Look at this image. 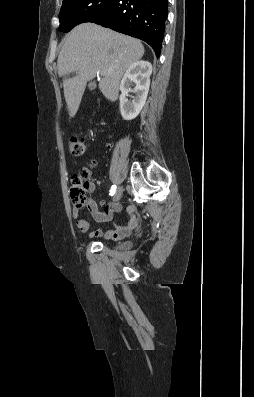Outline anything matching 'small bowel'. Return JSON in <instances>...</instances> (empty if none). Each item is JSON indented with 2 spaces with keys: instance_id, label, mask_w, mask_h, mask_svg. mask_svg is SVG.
I'll return each instance as SVG.
<instances>
[{
  "instance_id": "small-bowel-1",
  "label": "small bowel",
  "mask_w": 254,
  "mask_h": 397,
  "mask_svg": "<svg viewBox=\"0 0 254 397\" xmlns=\"http://www.w3.org/2000/svg\"><path fill=\"white\" fill-rule=\"evenodd\" d=\"M94 190V185L89 184L88 191L92 192ZM88 209L91 213L93 219L98 223H112V228L109 230H103L102 228H96L89 232L90 225L87 221L79 219V210L73 208L72 215L76 219V227L81 233H88L90 238H104L106 240H119L126 237L140 222V218L136 216V207L129 206L127 212L129 214V219L125 222L116 220L114 221V213L120 214L122 212V207L117 204L109 203L104 207L103 211H100L98 205L95 201L91 200Z\"/></svg>"
}]
</instances>
